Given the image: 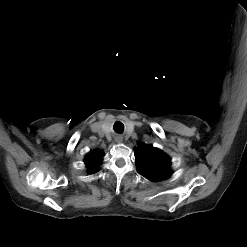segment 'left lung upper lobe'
<instances>
[{
    "label": "left lung upper lobe",
    "instance_id": "5c2ea615",
    "mask_svg": "<svg viewBox=\"0 0 247 247\" xmlns=\"http://www.w3.org/2000/svg\"><path fill=\"white\" fill-rule=\"evenodd\" d=\"M135 160L139 174L151 181H162L171 176V159L161 150L150 145L135 148Z\"/></svg>",
    "mask_w": 247,
    "mask_h": 247
}]
</instances>
